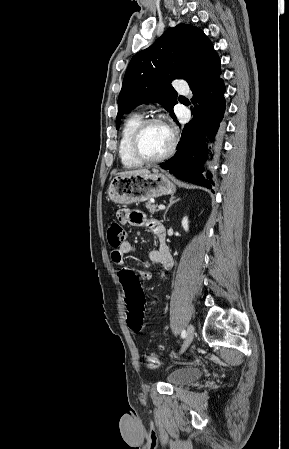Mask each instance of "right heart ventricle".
<instances>
[{"label":"right heart ventricle","mask_w":289,"mask_h":449,"mask_svg":"<svg viewBox=\"0 0 289 449\" xmlns=\"http://www.w3.org/2000/svg\"><path fill=\"white\" fill-rule=\"evenodd\" d=\"M142 120L141 114L134 113L126 119L123 125L119 144V157L126 168H134L141 165V162L138 161L132 153L131 138L134 130Z\"/></svg>","instance_id":"obj_1"}]
</instances>
